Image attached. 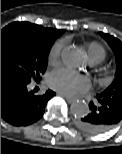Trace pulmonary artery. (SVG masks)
<instances>
[{
	"label": "pulmonary artery",
	"mask_w": 122,
	"mask_h": 154,
	"mask_svg": "<svg viewBox=\"0 0 122 154\" xmlns=\"http://www.w3.org/2000/svg\"><path fill=\"white\" fill-rule=\"evenodd\" d=\"M90 63H91V65H96V64H98L97 62H94V61H91Z\"/></svg>",
	"instance_id": "1"
}]
</instances>
